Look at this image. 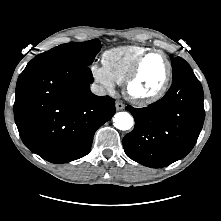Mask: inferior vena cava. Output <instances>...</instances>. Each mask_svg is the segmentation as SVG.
<instances>
[{
    "label": "inferior vena cava",
    "mask_w": 221,
    "mask_h": 221,
    "mask_svg": "<svg viewBox=\"0 0 221 221\" xmlns=\"http://www.w3.org/2000/svg\"><path fill=\"white\" fill-rule=\"evenodd\" d=\"M90 88H91V92L98 96H104L107 93L105 88L98 84H92Z\"/></svg>",
    "instance_id": "inferior-vena-cava-1"
}]
</instances>
